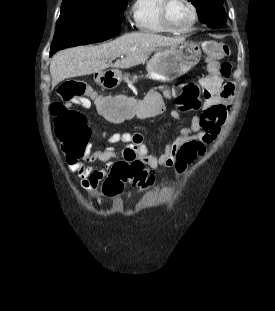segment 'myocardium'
I'll list each match as a JSON object with an SVG mask.
<instances>
[{
	"label": "myocardium",
	"instance_id": "f54148a6",
	"mask_svg": "<svg viewBox=\"0 0 275 311\" xmlns=\"http://www.w3.org/2000/svg\"><path fill=\"white\" fill-rule=\"evenodd\" d=\"M172 2H173V0H162V4L160 7V19H161L163 26L166 28V30L168 32L175 33V34H182V33H186L188 31H190L194 27V25L196 24L197 19H198V10H197L196 5L194 4V2L192 0H185V2L191 8L192 19L186 27L178 29V28H175L171 24V22L169 20V16H168L169 6Z\"/></svg>",
	"mask_w": 275,
	"mask_h": 311
}]
</instances>
